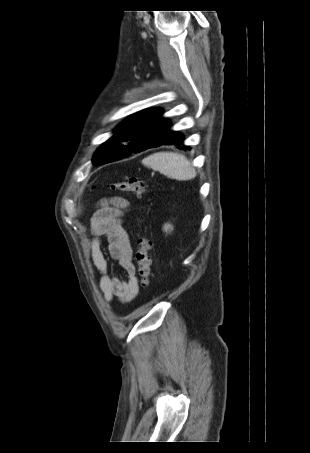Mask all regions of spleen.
Wrapping results in <instances>:
<instances>
[{
	"label": "spleen",
	"mask_w": 310,
	"mask_h": 453,
	"mask_svg": "<svg viewBox=\"0 0 310 453\" xmlns=\"http://www.w3.org/2000/svg\"><path fill=\"white\" fill-rule=\"evenodd\" d=\"M142 163L171 179L191 180L196 176L191 162L176 152H157L144 158Z\"/></svg>",
	"instance_id": "obj_1"
}]
</instances>
